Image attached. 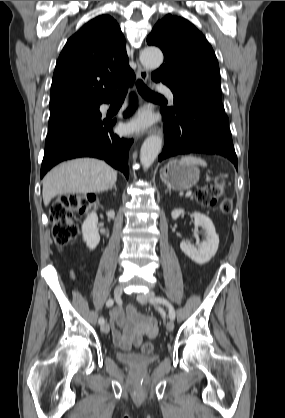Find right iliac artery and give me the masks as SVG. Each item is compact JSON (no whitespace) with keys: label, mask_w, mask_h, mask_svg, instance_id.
<instances>
[{"label":"right iliac artery","mask_w":285,"mask_h":418,"mask_svg":"<svg viewBox=\"0 0 285 418\" xmlns=\"http://www.w3.org/2000/svg\"><path fill=\"white\" fill-rule=\"evenodd\" d=\"M113 304H114L113 299H109V300L106 302V306H107V307H111ZM104 322H105L104 318H103V317H100V318H99V324H100V325H103V324H104Z\"/></svg>","instance_id":"right-iliac-artery-1"}]
</instances>
